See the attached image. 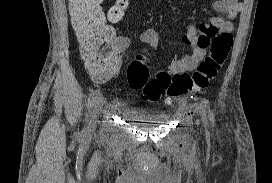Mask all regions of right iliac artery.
<instances>
[{"label": "right iliac artery", "mask_w": 272, "mask_h": 183, "mask_svg": "<svg viewBox=\"0 0 272 183\" xmlns=\"http://www.w3.org/2000/svg\"><path fill=\"white\" fill-rule=\"evenodd\" d=\"M100 90H94L90 95H89V98H88V102H87V108H88V112L86 113V121L88 120V118L90 117V112H91V109L93 108L95 102H96V99L100 96ZM85 131V129L83 130Z\"/></svg>", "instance_id": "obj_1"}]
</instances>
